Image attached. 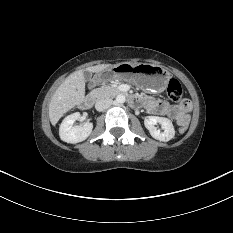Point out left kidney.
Here are the masks:
<instances>
[{"mask_svg":"<svg viewBox=\"0 0 233 233\" xmlns=\"http://www.w3.org/2000/svg\"><path fill=\"white\" fill-rule=\"evenodd\" d=\"M159 123L164 130L161 132L157 130L156 124ZM144 125L149 130L150 135L163 142H167L171 140L175 135V130L172 122L165 117H158V116H147L144 119Z\"/></svg>","mask_w":233,"mask_h":233,"instance_id":"left-kidney-1","label":"left kidney"}]
</instances>
